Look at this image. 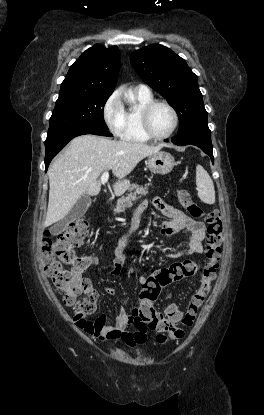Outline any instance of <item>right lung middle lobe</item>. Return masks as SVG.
Returning a JSON list of instances; mask_svg holds the SVG:
<instances>
[{
  "mask_svg": "<svg viewBox=\"0 0 264 415\" xmlns=\"http://www.w3.org/2000/svg\"><path fill=\"white\" fill-rule=\"evenodd\" d=\"M110 95H59L49 120L45 145L79 129H108L103 118V108Z\"/></svg>",
  "mask_w": 264,
  "mask_h": 415,
  "instance_id": "1",
  "label": "right lung middle lobe"
}]
</instances>
